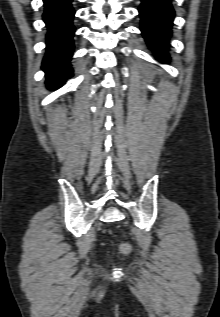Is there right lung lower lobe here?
<instances>
[{
	"instance_id": "1",
	"label": "right lung lower lobe",
	"mask_w": 220,
	"mask_h": 317,
	"mask_svg": "<svg viewBox=\"0 0 220 317\" xmlns=\"http://www.w3.org/2000/svg\"><path fill=\"white\" fill-rule=\"evenodd\" d=\"M45 12L43 20L48 27L47 52L42 69L47 76L49 88L59 87L72 75L70 58L73 52L74 27L72 19L75 14L72 0H43Z\"/></svg>"
}]
</instances>
